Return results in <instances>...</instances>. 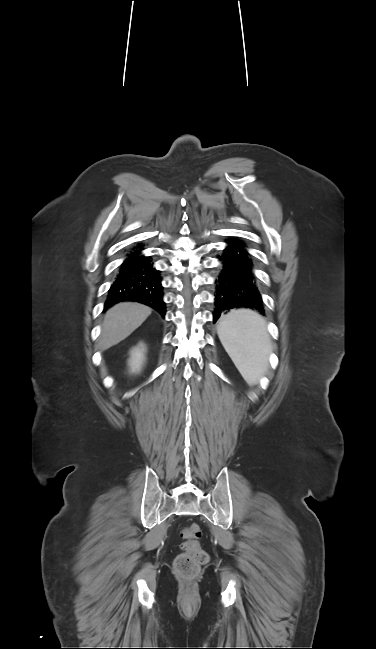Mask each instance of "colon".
Returning <instances> with one entry per match:
<instances>
[{
  "label": "colon",
  "instance_id": "obj_1",
  "mask_svg": "<svg viewBox=\"0 0 376 649\" xmlns=\"http://www.w3.org/2000/svg\"><path fill=\"white\" fill-rule=\"evenodd\" d=\"M181 535L184 539L181 544L183 552L175 558L174 570L181 577L193 578L207 564L209 557L199 544L201 529L198 524H188L182 529Z\"/></svg>",
  "mask_w": 376,
  "mask_h": 649
}]
</instances>
